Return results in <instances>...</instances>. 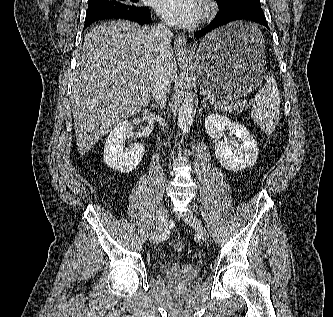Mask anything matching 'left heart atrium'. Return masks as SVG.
<instances>
[{
  "instance_id": "left-heart-atrium-1",
  "label": "left heart atrium",
  "mask_w": 333,
  "mask_h": 317,
  "mask_svg": "<svg viewBox=\"0 0 333 317\" xmlns=\"http://www.w3.org/2000/svg\"><path fill=\"white\" fill-rule=\"evenodd\" d=\"M157 13L172 25L188 26L201 14L200 0H157Z\"/></svg>"
}]
</instances>
